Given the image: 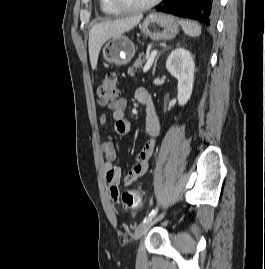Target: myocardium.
Masks as SVG:
<instances>
[{"mask_svg":"<svg viewBox=\"0 0 265 269\" xmlns=\"http://www.w3.org/2000/svg\"><path fill=\"white\" fill-rule=\"evenodd\" d=\"M161 0H149L143 4L130 5L124 3L122 0H111L112 4L121 12H137L150 9L157 5Z\"/></svg>","mask_w":265,"mask_h":269,"instance_id":"myocardium-1","label":"myocardium"}]
</instances>
